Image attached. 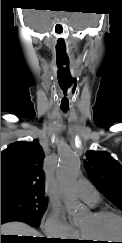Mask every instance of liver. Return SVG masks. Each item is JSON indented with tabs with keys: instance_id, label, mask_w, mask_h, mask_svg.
I'll return each instance as SVG.
<instances>
[{
	"instance_id": "liver-1",
	"label": "liver",
	"mask_w": 122,
	"mask_h": 243,
	"mask_svg": "<svg viewBox=\"0 0 122 243\" xmlns=\"http://www.w3.org/2000/svg\"><path fill=\"white\" fill-rule=\"evenodd\" d=\"M1 235L41 237L38 231L23 222H8L1 225Z\"/></svg>"
}]
</instances>
